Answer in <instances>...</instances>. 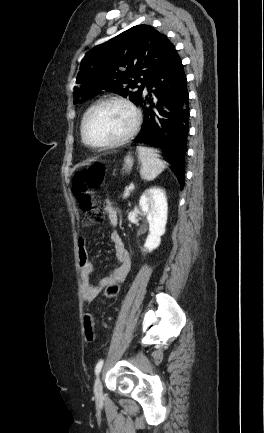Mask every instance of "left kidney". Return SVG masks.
<instances>
[{
  "label": "left kidney",
  "instance_id": "5707ae66",
  "mask_svg": "<svg viewBox=\"0 0 264 433\" xmlns=\"http://www.w3.org/2000/svg\"><path fill=\"white\" fill-rule=\"evenodd\" d=\"M139 206L149 223V235L144 248L151 252L160 245L161 236L166 230L168 217L166 192L159 187L147 189L140 198Z\"/></svg>",
  "mask_w": 264,
  "mask_h": 433
}]
</instances>
